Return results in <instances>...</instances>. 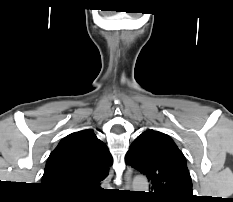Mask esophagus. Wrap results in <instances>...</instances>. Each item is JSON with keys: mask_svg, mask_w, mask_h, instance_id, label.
<instances>
[{"mask_svg": "<svg viewBox=\"0 0 233 202\" xmlns=\"http://www.w3.org/2000/svg\"><path fill=\"white\" fill-rule=\"evenodd\" d=\"M124 180H125V187L129 188L132 180V170L130 167H128L126 170V173L124 175Z\"/></svg>", "mask_w": 233, "mask_h": 202, "instance_id": "esophagus-1", "label": "esophagus"}]
</instances>
